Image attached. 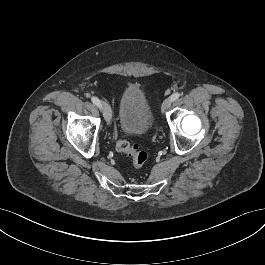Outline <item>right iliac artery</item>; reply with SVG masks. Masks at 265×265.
Returning <instances> with one entry per match:
<instances>
[{
  "label": "right iliac artery",
  "mask_w": 265,
  "mask_h": 265,
  "mask_svg": "<svg viewBox=\"0 0 265 265\" xmlns=\"http://www.w3.org/2000/svg\"><path fill=\"white\" fill-rule=\"evenodd\" d=\"M91 101L98 107H100V100L97 97H92Z\"/></svg>",
  "instance_id": "1"
}]
</instances>
